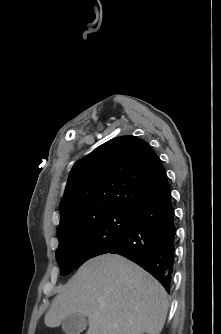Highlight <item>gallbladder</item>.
<instances>
[{
	"instance_id": "bac80fb5",
	"label": "gallbladder",
	"mask_w": 221,
	"mask_h": 334,
	"mask_svg": "<svg viewBox=\"0 0 221 334\" xmlns=\"http://www.w3.org/2000/svg\"><path fill=\"white\" fill-rule=\"evenodd\" d=\"M86 326L87 320L80 313L71 314L62 321V329L66 334H80Z\"/></svg>"
}]
</instances>
